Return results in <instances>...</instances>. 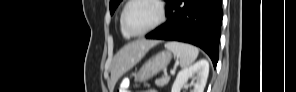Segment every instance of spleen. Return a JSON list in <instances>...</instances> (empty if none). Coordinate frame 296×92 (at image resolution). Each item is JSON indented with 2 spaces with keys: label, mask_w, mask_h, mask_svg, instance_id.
<instances>
[{
  "label": "spleen",
  "mask_w": 296,
  "mask_h": 92,
  "mask_svg": "<svg viewBox=\"0 0 296 92\" xmlns=\"http://www.w3.org/2000/svg\"><path fill=\"white\" fill-rule=\"evenodd\" d=\"M165 48L179 58L182 68L190 66L196 60L199 53L198 49L193 45L176 41L167 42Z\"/></svg>",
  "instance_id": "spleen-1"
}]
</instances>
